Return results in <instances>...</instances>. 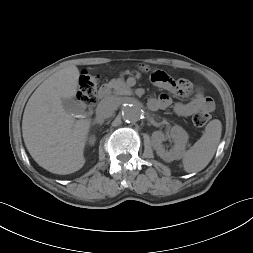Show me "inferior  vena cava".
Segmentation results:
<instances>
[{
  "label": "inferior vena cava",
  "instance_id": "1",
  "mask_svg": "<svg viewBox=\"0 0 253 253\" xmlns=\"http://www.w3.org/2000/svg\"><path fill=\"white\" fill-rule=\"evenodd\" d=\"M116 109V104L114 101L105 99L102 100L96 108V120L103 121L113 115Z\"/></svg>",
  "mask_w": 253,
  "mask_h": 253
}]
</instances>
